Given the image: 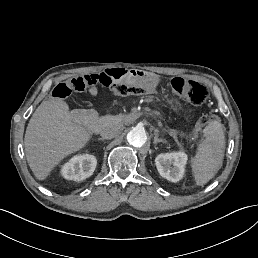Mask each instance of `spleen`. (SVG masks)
Returning <instances> with one entry per match:
<instances>
[{"label": "spleen", "instance_id": "3e777b00", "mask_svg": "<svg viewBox=\"0 0 258 258\" xmlns=\"http://www.w3.org/2000/svg\"><path fill=\"white\" fill-rule=\"evenodd\" d=\"M205 139L199 144L191 160L197 185H204L221 168L224 158L225 136L221 123L212 121L203 130Z\"/></svg>", "mask_w": 258, "mask_h": 258}]
</instances>
